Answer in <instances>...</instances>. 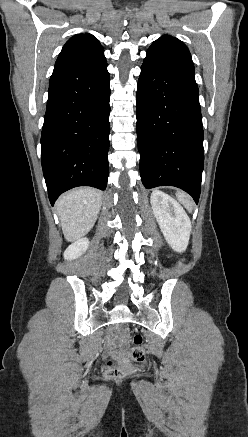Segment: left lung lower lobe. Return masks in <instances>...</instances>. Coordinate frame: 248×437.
<instances>
[{"label":"left lung lower lobe","instance_id":"left-lung-lower-lobe-1","mask_svg":"<svg viewBox=\"0 0 248 437\" xmlns=\"http://www.w3.org/2000/svg\"><path fill=\"white\" fill-rule=\"evenodd\" d=\"M136 108L143 185L176 186L198 203L204 153L195 78L142 64Z\"/></svg>","mask_w":248,"mask_h":437}]
</instances>
